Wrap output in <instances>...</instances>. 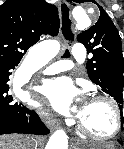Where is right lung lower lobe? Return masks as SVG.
Masks as SVG:
<instances>
[{"label":"right lung lower lobe","mask_w":124,"mask_h":149,"mask_svg":"<svg viewBox=\"0 0 124 149\" xmlns=\"http://www.w3.org/2000/svg\"><path fill=\"white\" fill-rule=\"evenodd\" d=\"M18 63L0 64V135L11 133L47 135L50 131L35 111L15 102L9 92V76Z\"/></svg>","instance_id":"98d812e1"}]
</instances>
